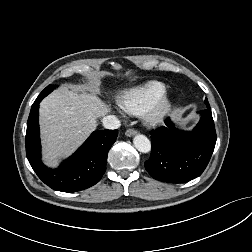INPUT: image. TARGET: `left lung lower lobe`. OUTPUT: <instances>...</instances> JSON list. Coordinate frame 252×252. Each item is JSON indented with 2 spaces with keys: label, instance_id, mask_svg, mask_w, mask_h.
<instances>
[{
  "label": "left lung lower lobe",
  "instance_id": "left-lung-lower-lobe-1",
  "mask_svg": "<svg viewBox=\"0 0 252 252\" xmlns=\"http://www.w3.org/2000/svg\"><path fill=\"white\" fill-rule=\"evenodd\" d=\"M206 106L191 132L177 129L170 118L165 120V126L151 132L152 150L145 168L154 179L185 183L205 170L216 143L211 108Z\"/></svg>",
  "mask_w": 252,
  "mask_h": 252
}]
</instances>
